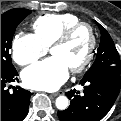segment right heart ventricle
I'll use <instances>...</instances> for the list:
<instances>
[{"label":"right heart ventricle","mask_w":121,"mask_h":121,"mask_svg":"<svg viewBox=\"0 0 121 121\" xmlns=\"http://www.w3.org/2000/svg\"><path fill=\"white\" fill-rule=\"evenodd\" d=\"M81 22V20L70 13L46 14L38 17L32 23L34 35L47 48L68 27Z\"/></svg>","instance_id":"1"}]
</instances>
